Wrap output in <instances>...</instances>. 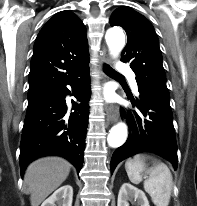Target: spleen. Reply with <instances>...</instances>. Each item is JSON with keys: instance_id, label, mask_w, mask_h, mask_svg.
<instances>
[{"instance_id": "3e777b00", "label": "spleen", "mask_w": 197, "mask_h": 206, "mask_svg": "<svg viewBox=\"0 0 197 206\" xmlns=\"http://www.w3.org/2000/svg\"><path fill=\"white\" fill-rule=\"evenodd\" d=\"M147 159L150 157L145 155L128 159L125 163L128 178L137 185L142 182L143 173L148 175L144 181V190L150 195L155 206H168L173 187L172 174L167 165L156 159H153V167L146 168Z\"/></svg>"}]
</instances>
